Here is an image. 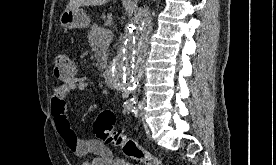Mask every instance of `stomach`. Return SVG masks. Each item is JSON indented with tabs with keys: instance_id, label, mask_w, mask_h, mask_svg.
I'll use <instances>...</instances> for the list:
<instances>
[{
	"instance_id": "stomach-1",
	"label": "stomach",
	"mask_w": 276,
	"mask_h": 165,
	"mask_svg": "<svg viewBox=\"0 0 276 165\" xmlns=\"http://www.w3.org/2000/svg\"><path fill=\"white\" fill-rule=\"evenodd\" d=\"M60 23L64 28L82 29L88 27L90 18L83 9L65 10L60 16Z\"/></svg>"
}]
</instances>
